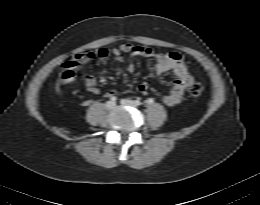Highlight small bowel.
I'll return each instance as SVG.
<instances>
[{"label":"small bowel","mask_w":260,"mask_h":205,"mask_svg":"<svg viewBox=\"0 0 260 205\" xmlns=\"http://www.w3.org/2000/svg\"><path fill=\"white\" fill-rule=\"evenodd\" d=\"M99 54L100 58H105L108 55V51L101 49ZM110 54L116 61H121L123 54H129L131 58V61L127 67L129 72H133L135 69L133 58L136 56L153 58L155 62L154 71L157 75L167 71H172L175 75V80L169 92L163 97V102L167 106H174L178 104L183 98L185 89L193 81L192 75L188 71L183 62L182 56L178 52H155L147 46L125 43L112 49ZM80 74L83 77L87 90L90 93L98 94L100 89L95 80L83 71L79 64V56H76L61 65V70L54 81V87L57 93L62 94L64 86L74 82ZM138 91L142 94H146L147 87L145 85H140L138 87ZM113 94V91L108 92L109 96Z\"/></svg>","instance_id":"obj_1"}]
</instances>
